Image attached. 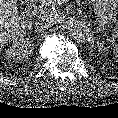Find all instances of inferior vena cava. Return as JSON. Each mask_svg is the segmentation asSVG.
<instances>
[{"label": "inferior vena cava", "instance_id": "1", "mask_svg": "<svg viewBox=\"0 0 118 118\" xmlns=\"http://www.w3.org/2000/svg\"><path fill=\"white\" fill-rule=\"evenodd\" d=\"M55 22H56V19L54 17L44 14L36 20L35 25H36V28L40 32H42V31H45L46 29L52 27Z\"/></svg>", "mask_w": 118, "mask_h": 118}]
</instances>
